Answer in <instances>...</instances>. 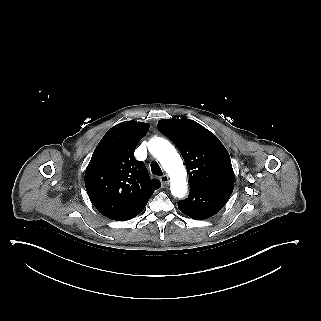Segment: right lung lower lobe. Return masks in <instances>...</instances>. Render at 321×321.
Instances as JSON below:
<instances>
[{
	"label": "right lung lower lobe",
	"instance_id": "98d812e1",
	"mask_svg": "<svg viewBox=\"0 0 321 321\" xmlns=\"http://www.w3.org/2000/svg\"><path fill=\"white\" fill-rule=\"evenodd\" d=\"M147 204V203H146ZM145 204V205H146ZM145 205L142 206L141 208L137 209L136 211H134L133 213L129 214L128 216L118 220V221H126V220H129V219H132L133 217L137 216L139 213H141L143 211V209L145 208Z\"/></svg>",
	"mask_w": 321,
	"mask_h": 321
}]
</instances>
